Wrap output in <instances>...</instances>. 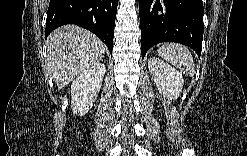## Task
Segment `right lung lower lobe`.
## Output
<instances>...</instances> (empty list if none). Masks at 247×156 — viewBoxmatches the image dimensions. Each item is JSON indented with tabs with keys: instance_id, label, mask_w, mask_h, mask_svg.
I'll use <instances>...</instances> for the list:
<instances>
[{
	"instance_id": "obj_1",
	"label": "right lung lower lobe",
	"mask_w": 247,
	"mask_h": 156,
	"mask_svg": "<svg viewBox=\"0 0 247 156\" xmlns=\"http://www.w3.org/2000/svg\"><path fill=\"white\" fill-rule=\"evenodd\" d=\"M118 0H50L46 37L57 27L75 24L93 32L112 54Z\"/></svg>"
}]
</instances>
